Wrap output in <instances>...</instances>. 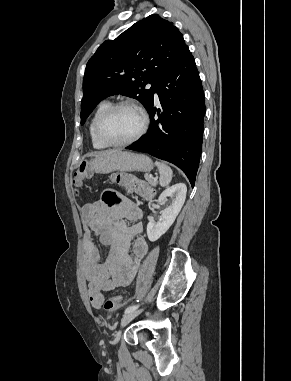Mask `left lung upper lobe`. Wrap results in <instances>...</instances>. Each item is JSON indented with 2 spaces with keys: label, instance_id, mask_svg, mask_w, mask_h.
<instances>
[{
  "label": "left lung upper lobe",
  "instance_id": "left-lung-upper-lobe-1",
  "mask_svg": "<svg viewBox=\"0 0 291 381\" xmlns=\"http://www.w3.org/2000/svg\"><path fill=\"white\" fill-rule=\"evenodd\" d=\"M187 48L177 27L158 14L105 41L86 66L81 124L102 99L111 95L135 98L147 108L157 84ZM148 83L152 86L147 90Z\"/></svg>",
  "mask_w": 291,
  "mask_h": 381
}]
</instances>
